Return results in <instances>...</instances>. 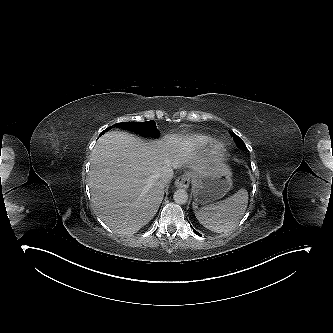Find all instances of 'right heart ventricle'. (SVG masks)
<instances>
[{"mask_svg": "<svg viewBox=\"0 0 333 333\" xmlns=\"http://www.w3.org/2000/svg\"><path fill=\"white\" fill-rule=\"evenodd\" d=\"M211 141V138L203 134H193L186 138L187 144L194 150L204 149Z\"/></svg>", "mask_w": 333, "mask_h": 333, "instance_id": "right-heart-ventricle-1", "label": "right heart ventricle"}]
</instances>
